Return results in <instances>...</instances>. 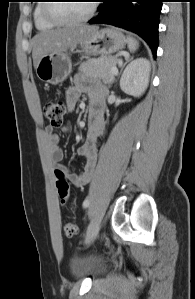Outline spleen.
Returning a JSON list of instances; mask_svg holds the SVG:
<instances>
[{
	"label": "spleen",
	"instance_id": "obj_1",
	"mask_svg": "<svg viewBox=\"0 0 195 299\" xmlns=\"http://www.w3.org/2000/svg\"><path fill=\"white\" fill-rule=\"evenodd\" d=\"M127 44H128V48L131 52H135L139 46L138 41L131 36L127 37Z\"/></svg>",
	"mask_w": 195,
	"mask_h": 299
}]
</instances>
